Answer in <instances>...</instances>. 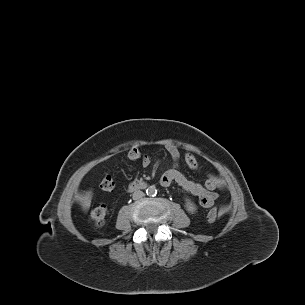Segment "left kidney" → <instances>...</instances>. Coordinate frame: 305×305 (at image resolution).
<instances>
[{
    "label": "left kidney",
    "instance_id": "left-kidney-1",
    "mask_svg": "<svg viewBox=\"0 0 305 305\" xmlns=\"http://www.w3.org/2000/svg\"><path fill=\"white\" fill-rule=\"evenodd\" d=\"M186 203H185V208L186 210L189 212V213H195L196 210H197V207L196 205L189 199V198H186Z\"/></svg>",
    "mask_w": 305,
    "mask_h": 305
}]
</instances>
